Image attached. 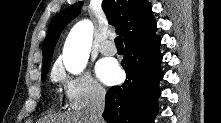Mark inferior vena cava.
<instances>
[{
  "mask_svg": "<svg viewBox=\"0 0 221 123\" xmlns=\"http://www.w3.org/2000/svg\"><path fill=\"white\" fill-rule=\"evenodd\" d=\"M105 108V91L95 87L92 90L90 104L86 109V114L91 123H103V111Z\"/></svg>",
  "mask_w": 221,
  "mask_h": 123,
  "instance_id": "obj_1",
  "label": "inferior vena cava"
}]
</instances>
